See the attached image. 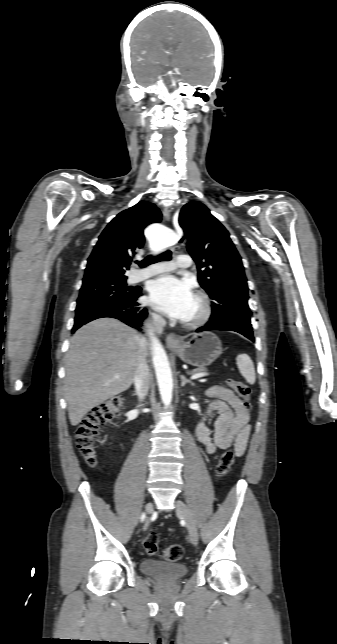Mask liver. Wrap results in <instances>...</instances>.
Wrapping results in <instances>:
<instances>
[{
	"instance_id": "obj_1",
	"label": "liver",
	"mask_w": 337,
	"mask_h": 644,
	"mask_svg": "<svg viewBox=\"0 0 337 644\" xmlns=\"http://www.w3.org/2000/svg\"><path fill=\"white\" fill-rule=\"evenodd\" d=\"M140 341L134 329L113 318L94 320L76 331L65 356L64 393L72 426L131 386Z\"/></svg>"
}]
</instances>
